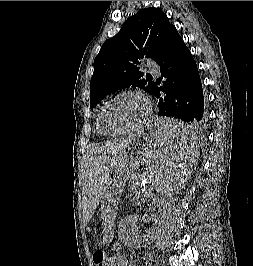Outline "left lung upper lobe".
I'll return each instance as SVG.
<instances>
[{"label":"left lung upper lobe","instance_id":"obj_1","mask_svg":"<svg viewBox=\"0 0 253 266\" xmlns=\"http://www.w3.org/2000/svg\"><path fill=\"white\" fill-rule=\"evenodd\" d=\"M174 29L167 15L154 7L131 16L120 31L102 45L94 60L91 109L108 94L130 86L152 94L155 82L142 78L141 63L149 58L157 62Z\"/></svg>","mask_w":253,"mask_h":266}]
</instances>
